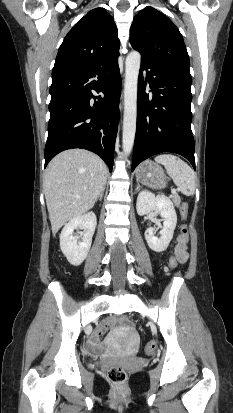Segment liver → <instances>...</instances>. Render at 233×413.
Segmentation results:
<instances>
[{
	"mask_svg": "<svg viewBox=\"0 0 233 413\" xmlns=\"http://www.w3.org/2000/svg\"><path fill=\"white\" fill-rule=\"evenodd\" d=\"M107 167L96 154L70 149L55 156L44 177L52 233L91 209L106 184Z\"/></svg>",
	"mask_w": 233,
	"mask_h": 413,
	"instance_id": "1",
	"label": "liver"
}]
</instances>
